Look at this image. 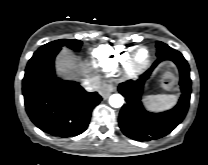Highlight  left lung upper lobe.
I'll return each mask as SVG.
<instances>
[{
    "label": "left lung upper lobe",
    "instance_id": "obj_1",
    "mask_svg": "<svg viewBox=\"0 0 208 165\" xmlns=\"http://www.w3.org/2000/svg\"><path fill=\"white\" fill-rule=\"evenodd\" d=\"M156 47H157V56H159L160 54L172 49L168 45H166V44H164L163 42H160V41L157 42Z\"/></svg>",
    "mask_w": 208,
    "mask_h": 165
}]
</instances>
